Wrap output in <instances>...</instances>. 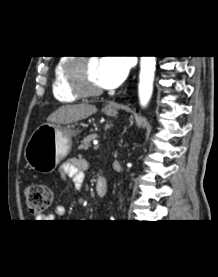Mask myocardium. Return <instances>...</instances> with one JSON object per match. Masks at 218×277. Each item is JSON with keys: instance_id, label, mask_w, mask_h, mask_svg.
Returning a JSON list of instances; mask_svg holds the SVG:
<instances>
[{"instance_id": "f54148a6", "label": "myocardium", "mask_w": 218, "mask_h": 277, "mask_svg": "<svg viewBox=\"0 0 218 277\" xmlns=\"http://www.w3.org/2000/svg\"><path fill=\"white\" fill-rule=\"evenodd\" d=\"M88 57L70 60L65 66V75L69 89L80 97H91L103 92L101 87H89L86 83V64Z\"/></svg>"}]
</instances>
